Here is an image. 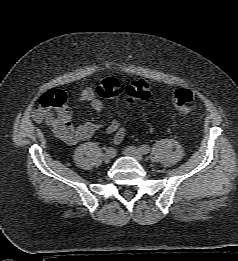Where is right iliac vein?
I'll return each instance as SVG.
<instances>
[{
    "label": "right iliac vein",
    "mask_w": 238,
    "mask_h": 261,
    "mask_svg": "<svg viewBox=\"0 0 238 261\" xmlns=\"http://www.w3.org/2000/svg\"><path fill=\"white\" fill-rule=\"evenodd\" d=\"M115 154H108L107 152H105L104 156H103V159L105 162H110L114 157H115Z\"/></svg>",
    "instance_id": "right-iliac-vein-1"
}]
</instances>
